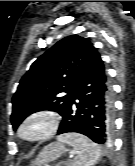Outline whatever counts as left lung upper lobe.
Wrapping results in <instances>:
<instances>
[{
    "mask_svg": "<svg viewBox=\"0 0 135 166\" xmlns=\"http://www.w3.org/2000/svg\"><path fill=\"white\" fill-rule=\"evenodd\" d=\"M97 53L89 39L71 35L41 55L22 77L13 96V129L34 112L49 110L61 115L70 105L82 73Z\"/></svg>",
    "mask_w": 135,
    "mask_h": 166,
    "instance_id": "5c2ea615",
    "label": "left lung upper lobe"
}]
</instances>
